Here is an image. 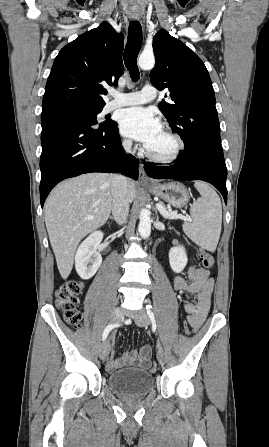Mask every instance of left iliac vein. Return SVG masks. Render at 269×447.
Wrapping results in <instances>:
<instances>
[{
  "label": "left iliac vein",
  "mask_w": 269,
  "mask_h": 447,
  "mask_svg": "<svg viewBox=\"0 0 269 447\" xmlns=\"http://www.w3.org/2000/svg\"><path fill=\"white\" fill-rule=\"evenodd\" d=\"M134 319H135L136 325L140 326V327H145L150 324L149 315L144 312H141L140 314L136 315ZM157 360L161 365L166 363V355H165L162 347H159V350L157 353Z\"/></svg>",
  "instance_id": "1"
}]
</instances>
